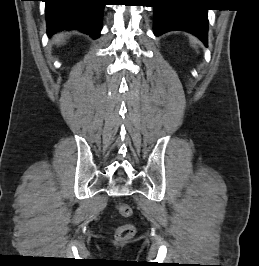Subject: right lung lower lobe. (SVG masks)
Returning <instances> with one entry per match:
<instances>
[{"label": "right lung lower lobe", "mask_w": 259, "mask_h": 266, "mask_svg": "<svg viewBox=\"0 0 259 266\" xmlns=\"http://www.w3.org/2000/svg\"><path fill=\"white\" fill-rule=\"evenodd\" d=\"M48 35L60 30H79L100 36L105 0H45Z\"/></svg>", "instance_id": "98d812e1"}]
</instances>
